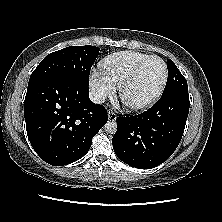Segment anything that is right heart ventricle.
I'll use <instances>...</instances> for the list:
<instances>
[{"instance_id": "1", "label": "right heart ventricle", "mask_w": 222, "mask_h": 222, "mask_svg": "<svg viewBox=\"0 0 222 222\" xmlns=\"http://www.w3.org/2000/svg\"><path fill=\"white\" fill-rule=\"evenodd\" d=\"M150 55L135 52L122 51L105 57L101 62L104 75L115 85L120 87L134 69Z\"/></svg>"}]
</instances>
